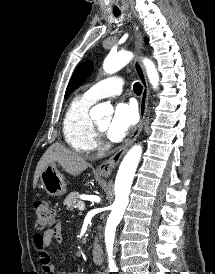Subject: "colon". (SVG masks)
<instances>
[{
  "label": "colon",
  "instance_id": "colon-1",
  "mask_svg": "<svg viewBox=\"0 0 215 274\" xmlns=\"http://www.w3.org/2000/svg\"><path fill=\"white\" fill-rule=\"evenodd\" d=\"M36 213L35 226L39 230H43L54 222V213L52 208L45 200H38L34 204Z\"/></svg>",
  "mask_w": 215,
  "mask_h": 274
}]
</instances>
